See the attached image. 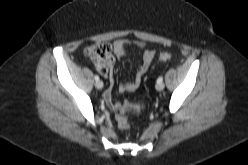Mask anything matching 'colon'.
Returning a JSON list of instances; mask_svg holds the SVG:
<instances>
[{"instance_id": "colon-1", "label": "colon", "mask_w": 248, "mask_h": 165, "mask_svg": "<svg viewBox=\"0 0 248 165\" xmlns=\"http://www.w3.org/2000/svg\"><path fill=\"white\" fill-rule=\"evenodd\" d=\"M85 55L90 58L96 69L100 72L108 71L113 63L112 47L107 42H100L90 45L85 50ZM171 58V54L168 52H163L159 56L160 61H167ZM111 102V101H110ZM112 107L116 110V121L118 127L122 130H127L130 127L128 118L126 116L127 112L134 111L140 112L144 109V105L132 104L130 102H123L122 104L113 102Z\"/></svg>"}]
</instances>
